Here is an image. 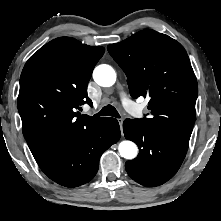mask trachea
Returning <instances> with one entry per match:
<instances>
[{"label":"trachea","instance_id":"3493384b","mask_svg":"<svg viewBox=\"0 0 221 221\" xmlns=\"http://www.w3.org/2000/svg\"><path fill=\"white\" fill-rule=\"evenodd\" d=\"M96 116H113L116 118H120L119 113L117 112V110L115 109V107H113L112 105L108 104L106 106H104L97 114Z\"/></svg>","mask_w":221,"mask_h":221}]
</instances>
